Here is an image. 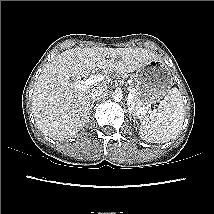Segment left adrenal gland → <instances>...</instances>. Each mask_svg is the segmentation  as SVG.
<instances>
[{
	"label": "left adrenal gland",
	"instance_id": "1",
	"mask_svg": "<svg viewBox=\"0 0 214 214\" xmlns=\"http://www.w3.org/2000/svg\"><path fill=\"white\" fill-rule=\"evenodd\" d=\"M128 112H129L130 115L132 114V110H131V107H130L129 103H128Z\"/></svg>",
	"mask_w": 214,
	"mask_h": 214
}]
</instances>
